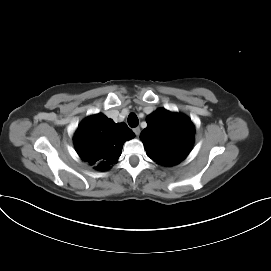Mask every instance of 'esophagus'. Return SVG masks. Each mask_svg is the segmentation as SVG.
<instances>
[{
    "instance_id": "obj_1",
    "label": "esophagus",
    "mask_w": 271,
    "mask_h": 271,
    "mask_svg": "<svg viewBox=\"0 0 271 271\" xmlns=\"http://www.w3.org/2000/svg\"><path fill=\"white\" fill-rule=\"evenodd\" d=\"M133 131L136 134V136H139V134H140V128L139 127L134 128Z\"/></svg>"
}]
</instances>
